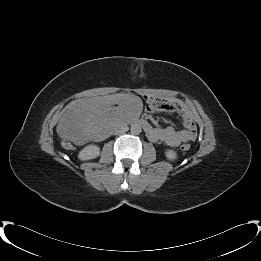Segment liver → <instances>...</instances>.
I'll use <instances>...</instances> for the list:
<instances>
[{"label": "liver", "mask_w": 261, "mask_h": 261, "mask_svg": "<svg viewBox=\"0 0 261 261\" xmlns=\"http://www.w3.org/2000/svg\"><path fill=\"white\" fill-rule=\"evenodd\" d=\"M144 100L137 93L98 96L79 100L57 125L58 135L74 144L89 140L107 127L124 119H136L144 111Z\"/></svg>", "instance_id": "obj_1"}]
</instances>
